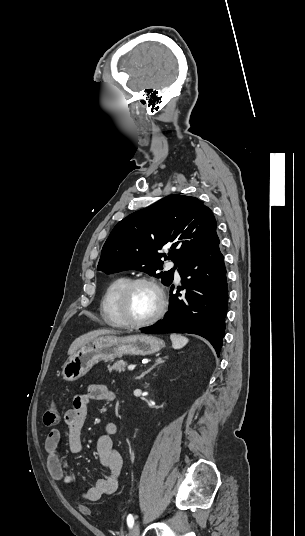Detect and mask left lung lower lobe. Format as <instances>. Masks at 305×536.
<instances>
[{"label":"left lung lower lobe","mask_w":305,"mask_h":536,"mask_svg":"<svg viewBox=\"0 0 305 536\" xmlns=\"http://www.w3.org/2000/svg\"><path fill=\"white\" fill-rule=\"evenodd\" d=\"M219 243L215 229L207 241L180 264L178 272L184 292L179 293V287L173 294L172 286L165 317L141 332L197 334L206 338L219 356L228 305L226 268Z\"/></svg>","instance_id":"left-lung-lower-lobe-1"}]
</instances>
